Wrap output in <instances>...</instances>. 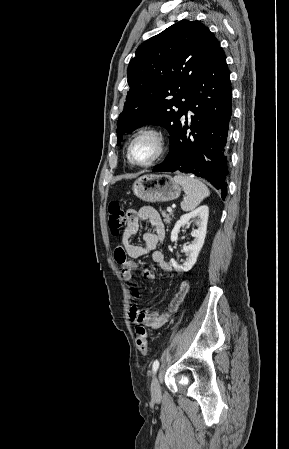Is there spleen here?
<instances>
[{
    "mask_svg": "<svg viewBox=\"0 0 289 449\" xmlns=\"http://www.w3.org/2000/svg\"><path fill=\"white\" fill-rule=\"evenodd\" d=\"M174 181L183 187L186 194V198L181 202V209L185 212L195 209L204 198L210 195L204 183L189 175L178 174L174 177Z\"/></svg>",
    "mask_w": 289,
    "mask_h": 449,
    "instance_id": "obj_1",
    "label": "spleen"
}]
</instances>
